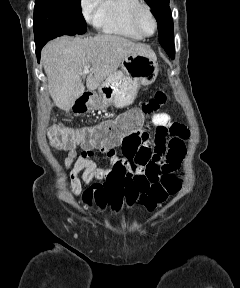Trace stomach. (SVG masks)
<instances>
[{
    "label": "stomach",
    "mask_w": 240,
    "mask_h": 288,
    "mask_svg": "<svg viewBox=\"0 0 240 288\" xmlns=\"http://www.w3.org/2000/svg\"><path fill=\"white\" fill-rule=\"evenodd\" d=\"M120 66L119 71L110 74L100 84L98 94L89 101L90 109L128 106L137 97L140 87L153 83L158 75L157 58L149 54L132 53Z\"/></svg>",
    "instance_id": "stomach-1"
}]
</instances>
